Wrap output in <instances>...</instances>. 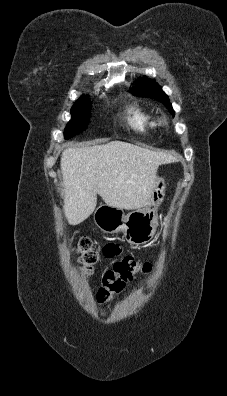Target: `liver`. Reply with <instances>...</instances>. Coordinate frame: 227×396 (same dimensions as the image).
<instances>
[{"label": "liver", "mask_w": 227, "mask_h": 396, "mask_svg": "<svg viewBox=\"0 0 227 396\" xmlns=\"http://www.w3.org/2000/svg\"><path fill=\"white\" fill-rule=\"evenodd\" d=\"M174 161L170 154L118 140L64 150L60 166L69 224L78 225L93 213L97 194L108 206L120 209L145 206L155 188L158 167Z\"/></svg>", "instance_id": "1"}]
</instances>
